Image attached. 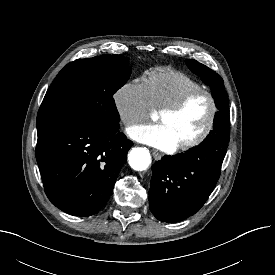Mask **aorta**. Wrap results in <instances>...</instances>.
<instances>
[{"instance_id":"762f6f07","label":"aorta","mask_w":275,"mask_h":275,"mask_svg":"<svg viewBox=\"0 0 275 275\" xmlns=\"http://www.w3.org/2000/svg\"><path fill=\"white\" fill-rule=\"evenodd\" d=\"M128 161L132 169L145 171L151 163V156L145 148H133L128 154Z\"/></svg>"}]
</instances>
